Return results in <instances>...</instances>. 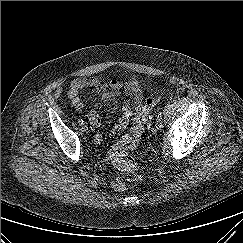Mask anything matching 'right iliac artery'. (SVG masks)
Listing matches in <instances>:
<instances>
[{"label":"right iliac artery","mask_w":243,"mask_h":243,"mask_svg":"<svg viewBox=\"0 0 243 243\" xmlns=\"http://www.w3.org/2000/svg\"><path fill=\"white\" fill-rule=\"evenodd\" d=\"M83 122H84V121H83L82 119H79V120H78V123H79V124H83Z\"/></svg>","instance_id":"1"}]
</instances>
